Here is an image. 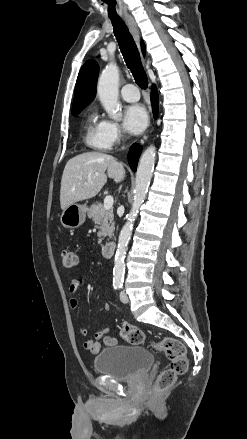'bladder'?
<instances>
[{
	"mask_svg": "<svg viewBox=\"0 0 247 439\" xmlns=\"http://www.w3.org/2000/svg\"><path fill=\"white\" fill-rule=\"evenodd\" d=\"M153 355L143 347L114 345L99 352L94 368L102 375L118 381H133L152 366Z\"/></svg>",
	"mask_w": 247,
	"mask_h": 439,
	"instance_id": "1",
	"label": "bladder"
}]
</instances>
